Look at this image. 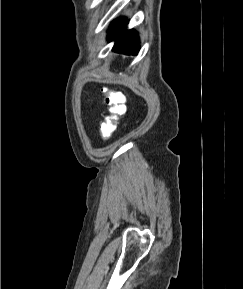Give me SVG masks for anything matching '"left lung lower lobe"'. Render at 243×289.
Returning <instances> with one entry per match:
<instances>
[{
  "mask_svg": "<svg viewBox=\"0 0 243 289\" xmlns=\"http://www.w3.org/2000/svg\"><path fill=\"white\" fill-rule=\"evenodd\" d=\"M127 23V20H115L108 31V40H115L113 51L137 55L139 50L138 36L134 30H126Z\"/></svg>",
  "mask_w": 243,
  "mask_h": 289,
  "instance_id": "0a47b994",
  "label": "left lung lower lobe"
}]
</instances>
